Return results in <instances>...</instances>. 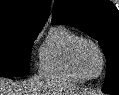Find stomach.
<instances>
[{
    "label": "stomach",
    "instance_id": "0dacf381",
    "mask_svg": "<svg viewBox=\"0 0 119 95\" xmlns=\"http://www.w3.org/2000/svg\"><path fill=\"white\" fill-rule=\"evenodd\" d=\"M69 95H88V93L75 90V91H72Z\"/></svg>",
    "mask_w": 119,
    "mask_h": 95
}]
</instances>
